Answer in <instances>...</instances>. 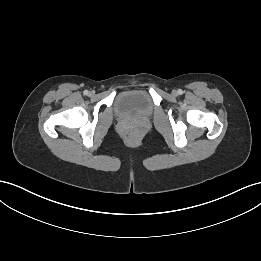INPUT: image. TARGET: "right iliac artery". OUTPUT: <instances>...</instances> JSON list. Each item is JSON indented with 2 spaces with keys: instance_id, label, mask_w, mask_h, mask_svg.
I'll return each mask as SVG.
<instances>
[{
  "instance_id": "82829eb1",
  "label": "right iliac artery",
  "mask_w": 261,
  "mask_h": 261,
  "mask_svg": "<svg viewBox=\"0 0 261 261\" xmlns=\"http://www.w3.org/2000/svg\"><path fill=\"white\" fill-rule=\"evenodd\" d=\"M83 93H84V95H88L89 94L88 90H85Z\"/></svg>"
}]
</instances>
